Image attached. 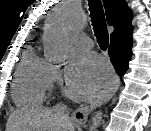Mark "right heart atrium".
Segmentation results:
<instances>
[{
    "label": "right heart atrium",
    "mask_w": 151,
    "mask_h": 131,
    "mask_svg": "<svg viewBox=\"0 0 151 131\" xmlns=\"http://www.w3.org/2000/svg\"><path fill=\"white\" fill-rule=\"evenodd\" d=\"M51 82H58L60 79V72L56 67H51L50 71Z\"/></svg>",
    "instance_id": "1"
}]
</instances>
